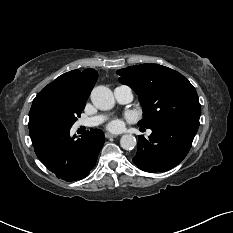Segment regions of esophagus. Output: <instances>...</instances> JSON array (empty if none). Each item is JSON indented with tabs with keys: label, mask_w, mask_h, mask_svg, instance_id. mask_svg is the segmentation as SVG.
<instances>
[{
	"label": "esophagus",
	"mask_w": 233,
	"mask_h": 233,
	"mask_svg": "<svg viewBox=\"0 0 233 233\" xmlns=\"http://www.w3.org/2000/svg\"><path fill=\"white\" fill-rule=\"evenodd\" d=\"M117 135H115V134H112V133H105V137L106 138H115Z\"/></svg>",
	"instance_id": "1"
}]
</instances>
